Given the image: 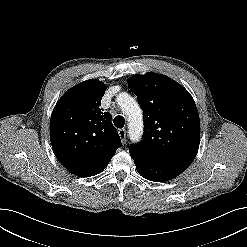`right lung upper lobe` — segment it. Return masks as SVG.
<instances>
[{"label": "right lung upper lobe", "mask_w": 247, "mask_h": 247, "mask_svg": "<svg viewBox=\"0 0 247 247\" xmlns=\"http://www.w3.org/2000/svg\"><path fill=\"white\" fill-rule=\"evenodd\" d=\"M106 86L87 80L67 91L50 120V140L60 163L71 173L108 163L122 145L111 114L100 109Z\"/></svg>", "instance_id": "1"}]
</instances>
